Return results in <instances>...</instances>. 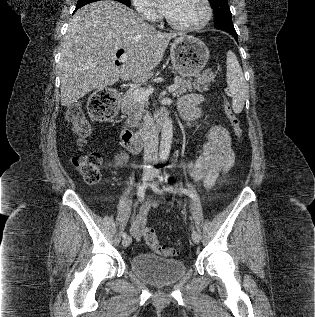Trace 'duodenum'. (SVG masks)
<instances>
[{
  "label": "duodenum",
  "instance_id": "duodenum-1",
  "mask_svg": "<svg viewBox=\"0 0 315 317\" xmlns=\"http://www.w3.org/2000/svg\"><path fill=\"white\" fill-rule=\"evenodd\" d=\"M123 103H127V99L123 98ZM169 118V112L166 110H162L159 113L157 124L158 126H162L164 122ZM121 142L123 147L131 152V153H137L139 152L143 147L144 142V134L140 131H133L131 129H125L121 133Z\"/></svg>",
  "mask_w": 315,
  "mask_h": 317
}]
</instances>
